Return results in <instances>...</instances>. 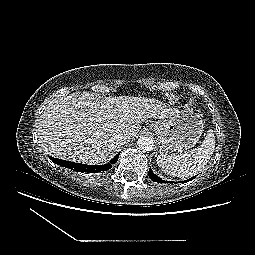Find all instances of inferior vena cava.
I'll list each match as a JSON object with an SVG mask.
<instances>
[{
	"label": "inferior vena cava",
	"mask_w": 255,
	"mask_h": 255,
	"mask_svg": "<svg viewBox=\"0 0 255 255\" xmlns=\"http://www.w3.org/2000/svg\"><path fill=\"white\" fill-rule=\"evenodd\" d=\"M115 138L116 142L119 144H124L128 140V137L125 134H117Z\"/></svg>",
	"instance_id": "obj_1"
}]
</instances>
